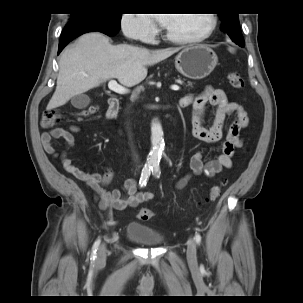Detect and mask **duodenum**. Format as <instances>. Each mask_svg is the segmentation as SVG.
<instances>
[{"instance_id": "obj_1", "label": "duodenum", "mask_w": 303, "mask_h": 303, "mask_svg": "<svg viewBox=\"0 0 303 303\" xmlns=\"http://www.w3.org/2000/svg\"><path fill=\"white\" fill-rule=\"evenodd\" d=\"M120 109V101L116 97H111L109 99V107L107 112L108 119H113L116 117Z\"/></svg>"}]
</instances>
